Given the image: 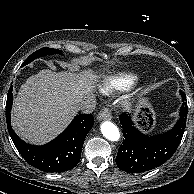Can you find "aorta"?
Instances as JSON below:
<instances>
[{
  "label": "aorta",
  "instance_id": "aorta-1",
  "mask_svg": "<svg viewBox=\"0 0 194 194\" xmlns=\"http://www.w3.org/2000/svg\"><path fill=\"white\" fill-rule=\"evenodd\" d=\"M100 128L103 136L108 140L118 141L120 139V131L114 123L105 121L101 124Z\"/></svg>",
  "mask_w": 194,
  "mask_h": 194
}]
</instances>
